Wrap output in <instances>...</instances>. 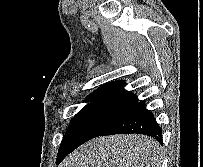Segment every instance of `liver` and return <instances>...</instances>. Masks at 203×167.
<instances>
[{
	"mask_svg": "<svg viewBox=\"0 0 203 167\" xmlns=\"http://www.w3.org/2000/svg\"><path fill=\"white\" fill-rule=\"evenodd\" d=\"M159 143L147 136H103L80 146L59 167H161Z\"/></svg>",
	"mask_w": 203,
	"mask_h": 167,
	"instance_id": "liver-1",
	"label": "liver"
}]
</instances>
